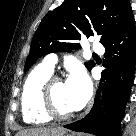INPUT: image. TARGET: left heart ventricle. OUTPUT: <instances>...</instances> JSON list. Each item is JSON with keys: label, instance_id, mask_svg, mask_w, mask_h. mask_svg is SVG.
<instances>
[{"label": "left heart ventricle", "instance_id": "obj_1", "mask_svg": "<svg viewBox=\"0 0 136 136\" xmlns=\"http://www.w3.org/2000/svg\"><path fill=\"white\" fill-rule=\"evenodd\" d=\"M54 102L57 109L62 113L75 111L72 107L65 82H59L53 90Z\"/></svg>", "mask_w": 136, "mask_h": 136}]
</instances>
